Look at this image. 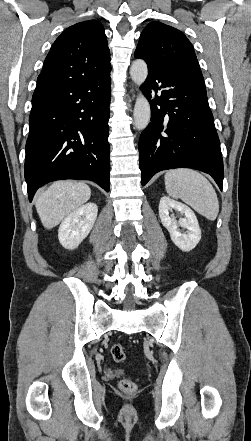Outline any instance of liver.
<instances>
[{
  "label": "liver",
  "mask_w": 251,
  "mask_h": 441,
  "mask_svg": "<svg viewBox=\"0 0 251 441\" xmlns=\"http://www.w3.org/2000/svg\"><path fill=\"white\" fill-rule=\"evenodd\" d=\"M90 196L91 189L83 182L57 181L38 194L35 207L43 226L52 229Z\"/></svg>",
  "instance_id": "1"
}]
</instances>
